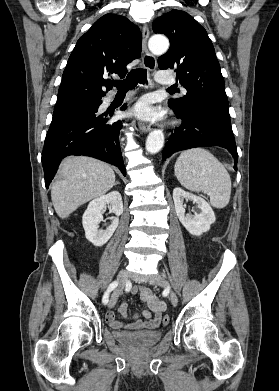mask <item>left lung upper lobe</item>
<instances>
[{
    "label": "left lung upper lobe",
    "instance_id": "1",
    "mask_svg": "<svg viewBox=\"0 0 279 391\" xmlns=\"http://www.w3.org/2000/svg\"><path fill=\"white\" fill-rule=\"evenodd\" d=\"M155 33L165 34L171 46L158 59L160 69H175L187 93L168 102L183 110L208 106L228 116V99L215 50L206 30L188 13L172 10L153 22Z\"/></svg>",
    "mask_w": 279,
    "mask_h": 391
}]
</instances>
